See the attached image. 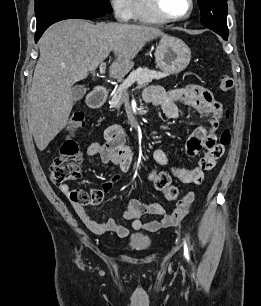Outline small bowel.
Returning a JSON list of instances; mask_svg holds the SVG:
<instances>
[{
  "instance_id": "1",
  "label": "small bowel",
  "mask_w": 261,
  "mask_h": 306,
  "mask_svg": "<svg viewBox=\"0 0 261 306\" xmlns=\"http://www.w3.org/2000/svg\"><path fill=\"white\" fill-rule=\"evenodd\" d=\"M145 100L159 106L163 113L170 119L179 115L178 103L193 107L204 119L207 126H200L189 136L186 142V151L189 155H196L204 150L199 161V166L184 168L171 163L169 157L162 149L153 152L154 160L168 168L169 174L183 183L201 184L204 172L214 168L217 160L223 155L224 147L217 143L216 132L222 116V105L213 97L206 88L189 84L184 87L166 91L160 86L149 87L144 93ZM105 143L93 142L87 147V155L99 157L104 163L116 165L122 172L130 170L133 160V150L125 141V134L118 125L109 126L104 133ZM111 183H106L100 189L102 197L110 189ZM69 195V191L63 190ZM195 198L193 191L188 192L178 201L172 213H166L158 203L145 204L138 199H129L122 217L131 221V227L118 224L113 218L105 221L95 220L83 205L73 203L75 212L86 227L96 234L115 233L117 236L127 237L132 231L145 229L157 231L164 227L178 225L188 214ZM144 215L161 216L160 220L142 222Z\"/></svg>"
}]
</instances>
